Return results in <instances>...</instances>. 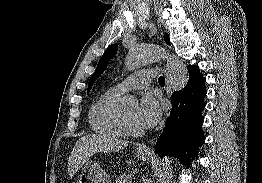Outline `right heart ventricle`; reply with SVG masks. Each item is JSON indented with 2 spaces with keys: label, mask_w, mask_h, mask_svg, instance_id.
Masks as SVG:
<instances>
[{
  "label": "right heart ventricle",
  "mask_w": 262,
  "mask_h": 183,
  "mask_svg": "<svg viewBox=\"0 0 262 183\" xmlns=\"http://www.w3.org/2000/svg\"><path fill=\"white\" fill-rule=\"evenodd\" d=\"M121 93L110 89L97 99L89 111V124L94 132L110 138L126 135L119 106Z\"/></svg>",
  "instance_id": "right-heart-ventricle-1"
}]
</instances>
